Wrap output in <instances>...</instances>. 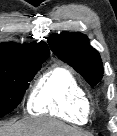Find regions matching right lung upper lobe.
<instances>
[{"label": "right lung upper lobe", "instance_id": "cb5924a9", "mask_svg": "<svg viewBox=\"0 0 117 136\" xmlns=\"http://www.w3.org/2000/svg\"><path fill=\"white\" fill-rule=\"evenodd\" d=\"M50 55L45 42L28 45L0 44V62L29 63L35 60L47 59Z\"/></svg>", "mask_w": 117, "mask_h": 136}]
</instances>
